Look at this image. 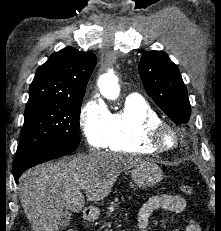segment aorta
<instances>
[{
  "label": "aorta",
  "instance_id": "762f6f07",
  "mask_svg": "<svg viewBox=\"0 0 221 231\" xmlns=\"http://www.w3.org/2000/svg\"><path fill=\"white\" fill-rule=\"evenodd\" d=\"M98 87L100 93L109 100H115L120 93V87L116 76L112 73H106L99 78Z\"/></svg>",
  "mask_w": 221,
  "mask_h": 231
}]
</instances>
